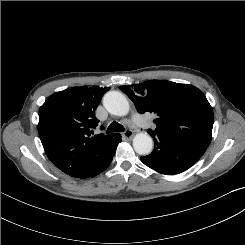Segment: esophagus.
<instances>
[{
	"label": "esophagus",
	"mask_w": 245,
	"mask_h": 245,
	"mask_svg": "<svg viewBox=\"0 0 245 245\" xmlns=\"http://www.w3.org/2000/svg\"><path fill=\"white\" fill-rule=\"evenodd\" d=\"M122 135L126 139H131L134 136V132L130 129H127L126 131L123 132Z\"/></svg>",
	"instance_id": "esophagus-1"
}]
</instances>
